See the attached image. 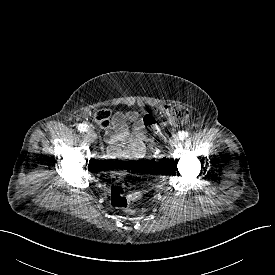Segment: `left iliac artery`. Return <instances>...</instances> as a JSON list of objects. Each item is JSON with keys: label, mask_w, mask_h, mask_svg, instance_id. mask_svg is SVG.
<instances>
[{"label": "left iliac artery", "mask_w": 275, "mask_h": 275, "mask_svg": "<svg viewBox=\"0 0 275 275\" xmlns=\"http://www.w3.org/2000/svg\"><path fill=\"white\" fill-rule=\"evenodd\" d=\"M178 136H179L180 140H184V139H186L188 137V133L186 131H180L178 133Z\"/></svg>", "instance_id": "left-iliac-artery-1"}]
</instances>
